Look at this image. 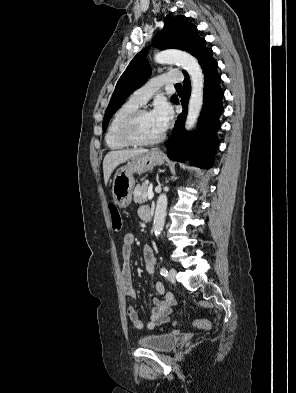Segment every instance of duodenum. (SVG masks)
<instances>
[{
	"instance_id": "410a0bca",
	"label": "duodenum",
	"mask_w": 296,
	"mask_h": 393,
	"mask_svg": "<svg viewBox=\"0 0 296 393\" xmlns=\"http://www.w3.org/2000/svg\"><path fill=\"white\" fill-rule=\"evenodd\" d=\"M151 219H152V210L149 209V210L147 211L145 220H146V221H150Z\"/></svg>"
}]
</instances>
